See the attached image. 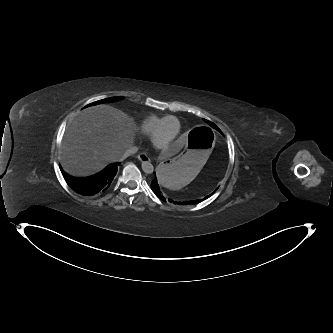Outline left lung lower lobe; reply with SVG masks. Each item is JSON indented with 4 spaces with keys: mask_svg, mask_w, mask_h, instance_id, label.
Wrapping results in <instances>:
<instances>
[{
    "mask_svg": "<svg viewBox=\"0 0 333 333\" xmlns=\"http://www.w3.org/2000/svg\"><path fill=\"white\" fill-rule=\"evenodd\" d=\"M151 188H152L153 192H154L158 197H160V198H162V199L164 198V197H163V196H164V191H163L161 185L157 182L156 179H154V180L152 181V183H151ZM211 195H212V194H211ZM208 197H209V196H208ZM169 200H170V199H169ZM196 202H198V200H196V201L182 202V203H180V204H182V205H184V204L188 205V204H193V203H196Z\"/></svg>",
    "mask_w": 333,
    "mask_h": 333,
    "instance_id": "obj_1",
    "label": "left lung lower lobe"
}]
</instances>
